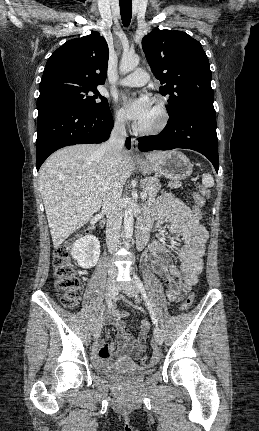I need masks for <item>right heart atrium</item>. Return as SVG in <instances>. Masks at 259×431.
Listing matches in <instances>:
<instances>
[{
    "mask_svg": "<svg viewBox=\"0 0 259 431\" xmlns=\"http://www.w3.org/2000/svg\"><path fill=\"white\" fill-rule=\"evenodd\" d=\"M114 124L117 127H124L126 125V117L119 109H116L114 112Z\"/></svg>",
    "mask_w": 259,
    "mask_h": 431,
    "instance_id": "1",
    "label": "right heart atrium"
}]
</instances>
